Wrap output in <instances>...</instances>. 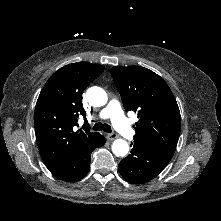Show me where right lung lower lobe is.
Instances as JSON below:
<instances>
[{
	"mask_svg": "<svg viewBox=\"0 0 221 221\" xmlns=\"http://www.w3.org/2000/svg\"><path fill=\"white\" fill-rule=\"evenodd\" d=\"M106 138L100 134L90 147L72 155L61 165L50 169V172L58 179L66 182L81 180L90 169L91 153L96 147L105 144Z\"/></svg>",
	"mask_w": 221,
	"mask_h": 221,
	"instance_id": "obj_1",
	"label": "right lung lower lobe"
}]
</instances>
